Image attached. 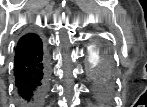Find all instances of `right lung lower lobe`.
I'll return each instance as SVG.
<instances>
[{"instance_id": "1", "label": "right lung lower lobe", "mask_w": 147, "mask_h": 107, "mask_svg": "<svg viewBox=\"0 0 147 107\" xmlns=\"http://www.w3.org/2000/svg\"><path fill=\"white\" fill-rule=\"evenodd\" d=\"M14 76L20 107H39L47 92L48 66L43 43L36 33L19 39Z\"/></svg>"}]
</instances>
